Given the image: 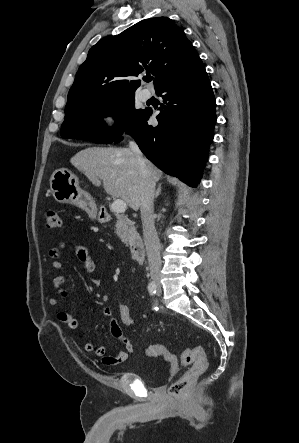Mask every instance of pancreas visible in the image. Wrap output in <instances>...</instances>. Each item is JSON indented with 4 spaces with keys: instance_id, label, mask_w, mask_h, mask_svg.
Masks as SVG:
<instances>
[{
    "instance_id": "pancreas-1",
    "label": "pancreas",
    "mask_w": 299,
    "mask_h": 443,
    "mask_svg": "<svg viewBox=\"0 0 299 443\" xmlns=\"http://www.w3.org/2000/svg\"><path fill=\"white\" fill-rule=\"evenodd\" d=\"M115 216L117 218L115 233L124 244L128 245L134 238L139 236L134 222L125 215L116 213Z\"/></svg>"
}]
</instances>
